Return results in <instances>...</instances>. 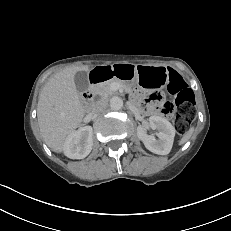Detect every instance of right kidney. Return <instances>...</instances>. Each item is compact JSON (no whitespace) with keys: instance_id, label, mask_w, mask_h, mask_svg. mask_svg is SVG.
<instances>
[{"instance_id":"1","label":"right kidney","mask_w":231,"mask_h":231,"mask_svg":"<svg viewBox=\"0 0 231 231\" xmlns=\"http://www.w3.org/2000/svg\"><path fill=\"white\" fill-rule=\"evenodd\" d=\"M92 146V127H81L67 137L64 144V154L71 159H83L89 155L92 150Z\"/></svg>"}]
</instances>
